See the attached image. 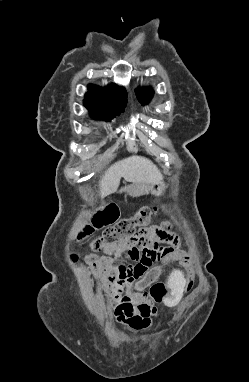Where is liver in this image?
I'll return each mask as SVG.
<instances>
[{
    "mask_svg": "<svg viewBox=\"0 0 249 382\" xmlns=\"http://www.w3.org/2000/svg\"><path fill=\"white\" fill-rule=\"evenodd\" d=\"M135 184H152L161 181L163 175L156 165L141 156H131L113 164L100 179L101 198L114 193L120 184V179Z\"/></svg>",
    "mask_w": 249,
    "mask_h": 382,
    "instance_id": "6515ba94",
    "label": "liver"
}]
</instances>
